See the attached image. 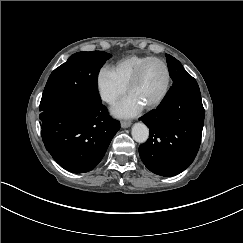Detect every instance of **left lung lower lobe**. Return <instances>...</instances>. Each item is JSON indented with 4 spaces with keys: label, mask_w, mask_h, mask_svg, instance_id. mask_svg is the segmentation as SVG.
<instances>
[{
    "label": "left lung lower lobe",
    "mask_w": 243,
    "mask_h": 243,
    "mask_svg": "<svg viewBox=\"0 0 243 243\" xmlns=\"http://www.w3.org/2000/svg\"><path fill=\"white\" fill-rule=\"evenodd\" d=\"M140 120L149 128V139L140 145L139 154L151 172L175 176L193 162L204 124L200 89L173 91Z\"/></svg>",
    "instance_id": "0a47b994"
}]
</instances>
